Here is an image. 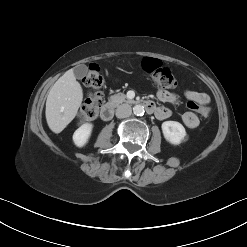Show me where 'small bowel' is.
I'll list each match as a JSON object with an SVG mask.
<instances>
[{"instance_id":"obj_1","label":"small bowel","mask_w":247,"mask_h":247,"mask_svg":"<svg viewBox=\"0 0 247 247\" xmlns=\"http://www.w3.org/2000/svg\"><path fill=\"white\" fill-rule=\"evenodd\" d=\"M184 96L188 100V104L196 103L200 105H207L210 102V98L206 93L198 92L195 90H185ZM157 98L160 101L167 103H176L178 101V97L176 94L166 90H159L157 92ZM154 114L158 119L164 120L170 117L171 111L166 107H156ZM182 121L184 125L189 129H194L198 127L200 123L198 116L191 111L185 112L182 115Z\"/></svg>"}]
</instances>
